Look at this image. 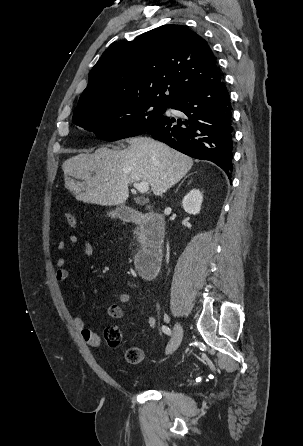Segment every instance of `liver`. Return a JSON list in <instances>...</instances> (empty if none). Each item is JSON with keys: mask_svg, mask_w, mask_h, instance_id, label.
I'll use <instances>...</instances> for the list:
<instances>
[{"mask_svg": "<svg viewBox=\"0 0 303 446\" xmlns=\"http://www.w3.org/2000/svg\"><path fill=\"white\" fill-rule=\"evenodd\" d=\"M120 151L100 147L92 154H79L63 162L65 186L84 203L102 206L124 204L129 184L146 181L156 196H162L192 168V158L149 137L128 139Z\"/></svg>", "mask_w": 303, "mask_h": 446, "instance_id": "1", "label": "liver"}]
</instances>
